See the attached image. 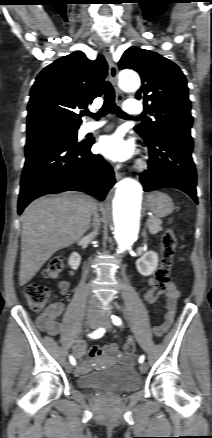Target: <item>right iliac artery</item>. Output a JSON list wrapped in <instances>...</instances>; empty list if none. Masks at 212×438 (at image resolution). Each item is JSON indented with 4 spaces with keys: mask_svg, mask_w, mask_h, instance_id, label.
Segmentation results:
<instances>
[{
    "mask_svg": "<svg viewBox=\"0 0 212 438\" xmlns=\"http://www.w3.org/2000/svg\"><path fill=\"white\" fill-rule=\"evenodd\" d=\"M104 333H105V329L99 328V329L95 330L93 333L89 334V337H91L93 339H97V338L102 337L104 335ZM69 361L72 365H76V360L72 356H69Z\"/></svg>",
    "mask_w": 212,
    "mask_h": 438,
    "instance_id": "right-iliac-artery-1",
    "label": "right iliac artery"
}]
</instances>
